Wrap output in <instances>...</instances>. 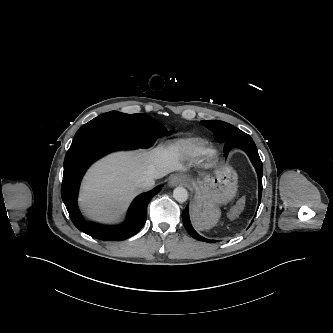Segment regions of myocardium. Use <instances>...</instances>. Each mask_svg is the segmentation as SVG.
<instances>
[{
    "label": "myocardium",
    "instance_id": "obj_1",
    "mask_svg": "<svg viewBox=\"0 0 333 333\" xmlns=\"http://www.w3.org/2000/svg\"><path fill=\"white\" fill-rule=\"evenodd\" d=\"M201 157L207 163L212 162L216 157V151L211 147H205L201 153Z\"/></svg>",
    "mask_w": 333,
    "mask_h": 333
}]
</instances>
